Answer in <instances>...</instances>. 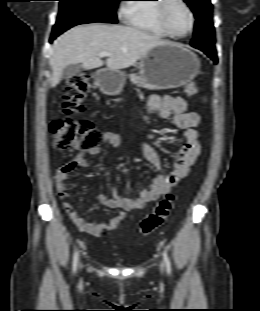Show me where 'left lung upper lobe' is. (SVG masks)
<instances>
[{"label": "left lung upper lobe", "mask_w": 260, "mask_h": 311, "mask_svg": "<svg viewBox=\"0 0 260 311\" xmlns=\"http://www.w3.org/2000/svg\"><path fill=\"white\" fill-rule=\"evenodd\" d=\"M195 17V31L191 42L193 47L215 48V31L212 24V4L210 0H184Z\"/></svg>", "instance_id": "left-lung-upper-lobe-1"}]
</instances>
